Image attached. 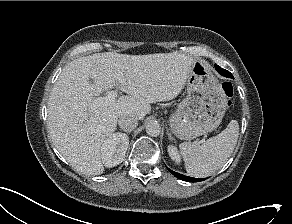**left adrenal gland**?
<instances>
[{"instance_id": "1", "label": "left adrenal gland", "mask_w": 292, "mask_h": 224, "mask_svg": "<svg viewBox=\"0 0 292 224\" xmlns=\"http://www.w3.org/2000/svg\"><path fill=\"white\" fill-rule=\"evenodd\" d=\"M167 135H168V138L170 139V140H173V137L171 136V133L167 130Z\"/></svg>"}]
</instances>
